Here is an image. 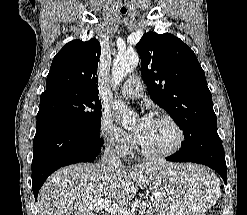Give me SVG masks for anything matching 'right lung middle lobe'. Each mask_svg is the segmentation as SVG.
<instances>
[{"label":"right lung middle lobe","mask_w":247,"mask_h":215,"mask_svg":"<svg viewBox=\"0 0 247 215\" xmlns=\"http://www.w3.org/2000/svg\"><path fill=\"white\" fill-rule=\"evenodd\" d=\"M55 117L99 133L101 101L98 95H88L61 88L45 91L40 97L37 118Z\"/></svg>","instance_id":"dd1d6c3e"}]
</instances>
